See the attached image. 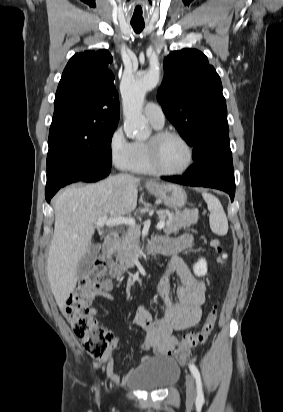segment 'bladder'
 I'll list each match as a JSON object with an SVG mask.
<instances>
[{"mask_svg":"<svg viewBox=\"0 0 283 412\" xmlns=\"http://www.w3.org/2000/svg\"><path fill=\"white\" fill-rule=\"evenodd\" d=\"M180 375L178 363L169 357L146 361L129 373L128 385L143 390L165 389L177 382Z\"/></svg>","mask_w":283,"mask_h":412,"instance_id":"1","label":"bladder"}]
</instances>
